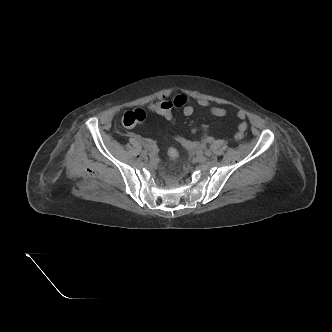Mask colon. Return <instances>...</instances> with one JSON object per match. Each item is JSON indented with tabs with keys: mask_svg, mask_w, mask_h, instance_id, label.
Listing matches in <instances>:
<instances>
[{
	"mask_svg": "<svg viewBox=\"0 0 332 332\" xmlns=\"http://www.w3.org/2000/svg\"><path fill=\"white\" fill-rule=\"evenodd\" d=\"M159 106L160 104L158 102H155L151 105L150 110L153 112L154 109ZM161 108L163 110V117L170 122H175V116L173 110H171L168 105H161ZM145 118H146V113L141 109L127 111L122 118V124L125 127L131 128L136 124L144 121ZM199 130H201V127L199 128ZM193 131L195 132L197 131V129H194ZM169 156L171 158L177 157V151L175 149H170Z\"/></svg>",
	"mask_w": 332,
	"mask_h": 332,
	"instance_id": "colon-1",
	"label": "colon"
}]
</instances>
